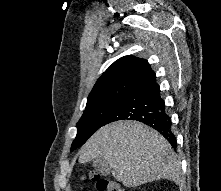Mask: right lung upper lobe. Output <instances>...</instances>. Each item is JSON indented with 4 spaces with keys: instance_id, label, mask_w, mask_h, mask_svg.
Masks as SVG:
<instances>
[{
    "instance_id": "cb5924a9",
    "label": "right lung upper lobe",
    "mask_w": 221,
    "mask_h": 191,
    "mask_svg": "<svg viewBox=\"0 0 221 191\" xmlns=\"http://www.w3.org/2000/svg\"><path fill=\"white\" fill-rule=\"evenodd\" d=\"M154 76L144 59L125 56L115 61L97 80L86 106L124 97L131 89Z\"/></svg>"
}]
</instances>
